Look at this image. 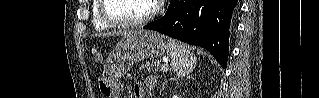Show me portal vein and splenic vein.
Returning a JSON list of instances; mask_svg holds the SVG:
<instances>
[{
  "instance_id": "obj_1",
  "label": "portal vein and splenic vein",
  "mask_w": 319,
  "mask_h": 98,
  "mask_svg": "<svg viewBox=\"0 0 319 98\" xmlns=\"http://www.w3.org/2000/svg\"><path fill=\"white\" fill-rule=\"evenodd\" d=\"M161 69H162V71L167 72L168 69H169V67H168L167 64L163 63V64L161 65Z\"/></svg>"
}]
</instances>
